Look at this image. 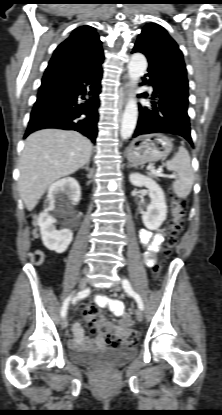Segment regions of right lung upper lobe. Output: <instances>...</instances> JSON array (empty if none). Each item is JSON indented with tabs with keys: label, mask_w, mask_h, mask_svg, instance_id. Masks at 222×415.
I'll use <instances>...</instances> for the list:
<instances>
[{
	"label": "right lung upper lobe",
	"mask_w": 222,
	"mask_h": 415,
	"mask_svg": "<svg viewBox=\"0 0 222 415\" xmlns=\"http://www.w3.org/2000/svg\"><path fill=\"white\" fill-rule=\"evenodd\" d=\"M104 58L101 41L91 26L76 28L54 51L49 63L88 66Z\"/></svg>",
	"instance_id": "1"
}]
</instances>
